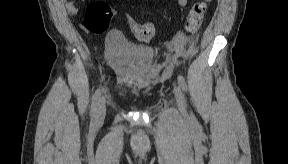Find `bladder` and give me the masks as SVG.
Instances as JSON below:
<instances>
[{
	"label": "bladder",
	"mask_w": 288,
	"mask_h": 164,
	"mask_svg": "<svg viewBox=\"0 0 288 164\" xmlns=\"http://www.w3.org/2000/svg\"><path fill=\"white\" fill-rule=\"evenodd\" d=\"M105 55L123 88L133 87L143 80L155 57L147 44H135L113 37L105 47Z\"/></svg>",
	"instance_id": "31cf9c89"
}]
</instances>
